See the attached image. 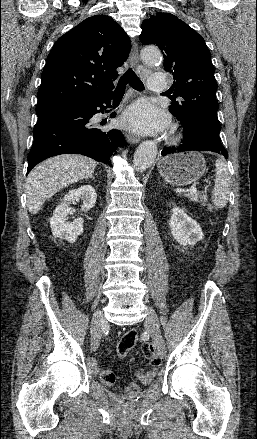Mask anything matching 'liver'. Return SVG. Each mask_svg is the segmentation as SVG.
<instances>
[{
    "instance_id": "6515ba94",
    "label": "liver",
    "mask_w": 257,
    "mask_h": 439,
    "mask_svg": "<svg viewBox=\"0 0 257 439\" xmlns=\"http://www.w3.org/2000/svg\"><path fill=\"white\" fill-rule=\"evenodd\" d=\"M97 163L85 156L63 154L44 161L27 177V206L38 213L44 202L64 187L89 178Z\"/></svg>"
}]
</instances>
